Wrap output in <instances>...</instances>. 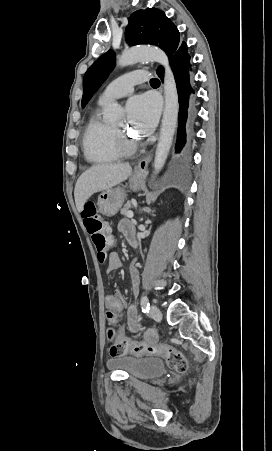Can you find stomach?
I'll list each match as a JSON object with an SVG mask.
<instances>
[{
    "mask_svg": "<svg viewBox=\"0 0 272 451\" xmlns=\"http://www.w3.org/2000/svg\"><path fill=\"white\" fill-rule=\"evenodd\" d=\"M146 176L139 178L133 174L130 178V188L132 190H139V184L143 182ZM126 200V194L122 188H110V190H105L102 192L98 198V210L103 216H115L118 210H120L123 202Z\"/></svg>",
    "mask_w": 272,
    "mask_h": 451,
    "instance_id": "0dacf381",
    "label": "stomach"
}]
</instances>
